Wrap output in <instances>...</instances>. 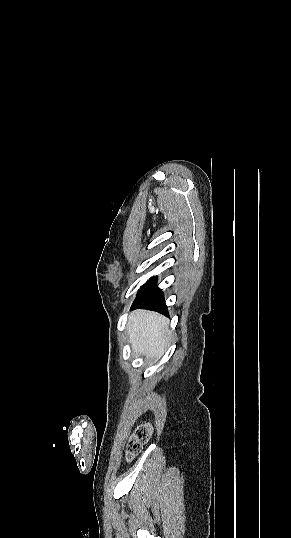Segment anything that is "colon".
<instances>
[{
    "instance_id": "1",
    "label": "colon",
    "mask_w": 291,
    "mask_h": 538,
    "mask_svg": "<svg viewBox=\"0 0 291 538\" xmlns=\"http://www.w3.org/2000/svg\"><path fill=\"white\" fill-rule=\"evenodd\" d=\"M151 436V427L148 424H142L138 426L134 435L132 436L129 444L128 451L126 453L127 459H130L136 455L148 442Z\"/></svg>"
}]
</instances>
